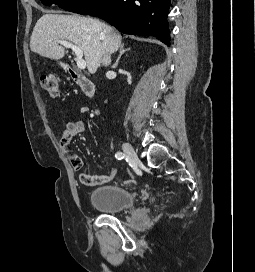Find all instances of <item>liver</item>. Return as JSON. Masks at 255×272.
Returning <instances> with one entry per match:
<instances>
[{"mask_svg":"<svg viewBox=\"0 0 255 272\" xmlns=\"http://www.w3.org/2000/svg\"><path fill=\"white\" fill-rule=\"evenodd\" d=\"M59 40L79 46L90 73H95L104 54L118 50L122 37L113 27L90 17L78 15L44 14L36 23L30 48L34 53L50 59H62L65 49Z\"/></svg>","mask_w":255,"mask_h":272,"instance_id":"obj_1","label":"liver"}]
</instances>
